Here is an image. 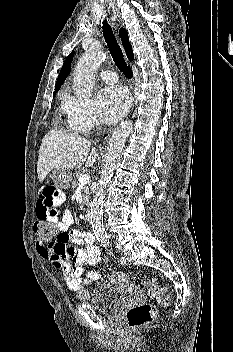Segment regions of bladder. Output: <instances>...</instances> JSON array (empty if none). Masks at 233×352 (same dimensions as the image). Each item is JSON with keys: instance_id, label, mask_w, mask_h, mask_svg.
<instances>
[{"instance_id": "obj_1", "label": "bladder", "mask_w": 233, "mask_h": 352, "mask_svg": "<svg viewBox=\"0 0 233 352\" xmlns=\"http://www.w3.org/2000/svg\"><path fill=\"white\" fill-rule=\"evenodd\" d=\"M125 300L126 296L121 289L104 281L94 287L89 304L105 315L115 316Z\"/></svg>"}]
</instances>
